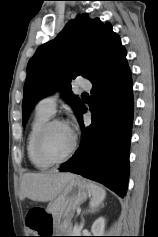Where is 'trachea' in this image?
Here are the masks:
<instances>
[{"mask_svg": "<svg viewBox=\"0 0 158 237\" xmlns=\"http://www.w3.org/2000/svg\"><path fill=\"white\" fill-rule=\"evenodd\" d=\"M82 96H89L88 93L84 92L82 93Z\"/></svg>", "mask_w": 158, "mask_h": 237, "instance_id": "1", "label": "trachea"}]
</instances>
